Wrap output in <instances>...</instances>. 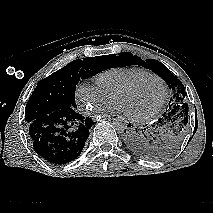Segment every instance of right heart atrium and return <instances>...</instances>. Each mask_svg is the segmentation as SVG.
Instances as JSON below:
<instances>
[{"label":"right heart atrium","mask_w":213,"mask_h":213,"mask_svg":"<svg viewBox=\"0 0 213 213\" xmlns=\"http://www.w3.org/2000/svg\"><path fill=\"white\" fill-rule=\"evenodd\" d=\"M111 98L97 84L87 81L80 82L75 89L76 103L81 111L89 112L104 106L111 101Z\"/></svg>","instance_id":"d8ad5b80"}]
</instances>
